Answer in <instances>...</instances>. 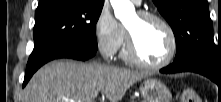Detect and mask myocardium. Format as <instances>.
<instances>
[{
    "label": "myocardium",
    "mask_w": 221,
    "mask_h": 102,
    "mask_svg": "<svg viewBox=\"0 0 221 102\" xmlns=\"http://www.w3.org/2000/svg\"><path fill=\"white\" fill-rule=\"evenodd\" d=\"M137 15L141 20L144 21H156L166 29L170 38V51L168 53V56L161 62L149 63L145 61L137 51L135 41L131 32L126 28V51L128 57L136 65L150 70H157L168 66L175 58L178 48L177 37L173 27L164 17L158 14L148 11H140Z\"/></svg>",
    "instance_id": "myocardium-1"
}]
</instances>
